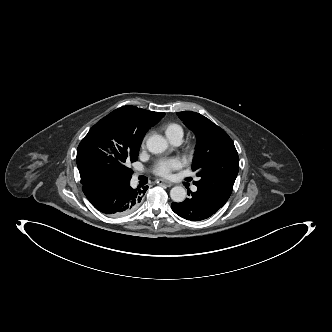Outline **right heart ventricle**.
Wrapping results in <instances>:
<instances>
[{"mask_svg":"<svg viewBox=\"0 0 332 332\" xmlns=\"http://www.w3.org/2000/svg\"><path fill=\"white\" fill-rule=\"evenodd\" d=\"M165 136L171 142L174 139L182 140L184 136V130L181 125L177 123H169L163 128Z\"/></svg>","mask_w":332,"mask_h":332,"instance_id":"1","label":"right heart ventricle"}]
</instances>
